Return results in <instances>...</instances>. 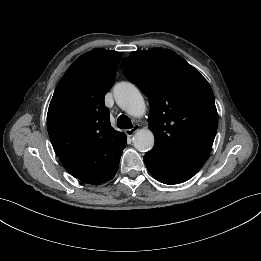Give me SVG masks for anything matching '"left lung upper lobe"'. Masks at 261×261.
Returning a JSON list of instances; mask_svg holds the SVG:
<instances>
[{
	"instance_id": "left-lung-upper-lobe-1",
	"label": "left lung upper lobe",
	"mask_w": 261,
	"mask_h": 261,
	"mask_svg": "<svg viewBox=\"0 0 261 261\" xmlns=\"http://www.w3.org/2000/svg\"><path fill=\"white\" fill-rule=\"evenodd\" d=\"M126 77L148 97L151 151L181 162L205 163L218 114L206 79L172 50L131 52L122 60Z\"/></svg>"
}]
</instances>
